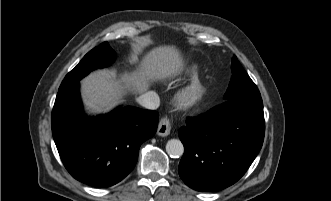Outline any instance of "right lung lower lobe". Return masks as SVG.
I'll return each mask as SVG.
<instances>
[{"mask_svg": "<svg viewBox=\"0 0 331 201\" xmlns=\"http://www.w3.org/2000/svg\"><path fill=\"white\" fill-rule=\"evenodd\" d=\"M157 125L156 111L135 107L86 117L79 82L58 92L52 111L53 138L65 168L94 187H109L125 178L136 165L141 144L155 134Z\"/></svg>", "mask_w": 331, "mask_h": 201, "instance_id": "obj_1", "label": "right lung lower lobe"}]
</instances>
